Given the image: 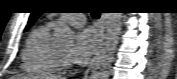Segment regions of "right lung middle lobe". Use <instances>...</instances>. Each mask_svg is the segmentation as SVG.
Listing matches in <instances>:
<instances>
[{
  "label": "right lung middle lobe",
  "instance_id": "right-lung-middle-lobe-1",
  "mask_svg": "<svg viewBox=\"0 0 177 79\" xmlns=\"http://www.w3.org/2000/svg\"><path fill=\"white\" fill-rule=\"evenodd\" d=\"M30 26H31V25L27 26V27H26V30H27Z\"/></svg>",
  "mask_w": 177,
  "mask_h": 79
}]
</instances>
